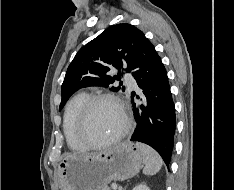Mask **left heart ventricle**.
I'll list each match as a JSON object with an SVG mask.
<instances>
[{
	"label": "left heart ventricle",
	"mask_w": 234,
	"mask_h": 190,
	"mask_svg": "<svg viewBox=\"0 0 234 190\" xmlns=\"http://www.w3.org/2000/svg\"><path fill=\"white\" fill-rule=\"evenodd\" d=\"M123 124L120 109L112 102L101 101L91 109L87 134L94 142H103L116 135Z\"/></svg>",
	"instance_id": "b2bd125f"
}]
</instances>
